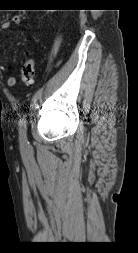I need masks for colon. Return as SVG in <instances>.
Here are the masks:
<instances>
[{
    "label": "colon",
    "instance_id": "obj_1",
    "mask_svg": "<svg viewBox=\"0 0 138 253\" xmlns=\"http://www.w3.org/2000/svg\"><path fill=\"white\" fill-rule=\"evenodd\" d=\"M34 78H35V61L33 59H28L22 68L21 73L22 83L25 86L30 87L34 83Z\"/></svg>",
    "mask_w": 138,
    "mask_h": 253
}]
</instances>
